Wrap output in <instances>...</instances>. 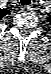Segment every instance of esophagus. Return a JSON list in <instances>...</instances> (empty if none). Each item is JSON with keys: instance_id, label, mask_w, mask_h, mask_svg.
<instances>
[{"instance_id": "esophagus-1", "label": "esophagus", "mask_w": 51, "mask_h": 74, "mask_svg": "<svg viewBox=\"0 0 51 74\" xmlns=\"http://www.w3.org/2000/svg\"><path fill=\"white\" fill-rule=\"evenodd\" d=\"M31 8H30V6L28 5V6H23V11H28V10H30Z\"/></svg>"}]
</instances>
